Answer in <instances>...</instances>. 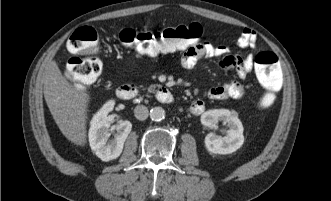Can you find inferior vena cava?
I'll list each match as a JSON object with an SVG mask.
<instances>
[{"label": "inferior vena cava", "instance_id": "1", "mask_svg": "<svg viewBox=\"0 0 331 201\" xmlns=\"http://www.w3.org/2000/svg\"><path fill=\"white\" fill-rule=\"evenodd\" d=\"M134 115L138 120L143 121L147 119L149 115L148 108L143 105L136 106L134 109Z\"/></svg>", "mask_w": 331, "mask_h": 201}]
</instances>
